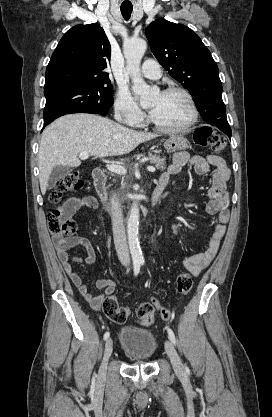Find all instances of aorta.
Here are the masks:
<instances>
[{
    "instance_id": "aorta-1",
    "label": "aorta",
    "mask_w": 272,
    "mask_h": 417,
    "mask_svg": "<svg viewBox=\"0 0 272 417\" xmlns=\"http://www.w3.org/2000/svg\"><path fill=\"white\" fill-rule=\"evenodd\" d=\"M147 44L143 39H130L124 43L123 53L126 58V69L132 79V89L140 97V104L147 106L154 101L159 93L157 87L149 86L140 76V63L146 51ZM139 207L134 202L131 206L128 221L127 234L130 253L134 262L142 261L143 255L138 239Z\"/></svg>"
}]
</instances>
